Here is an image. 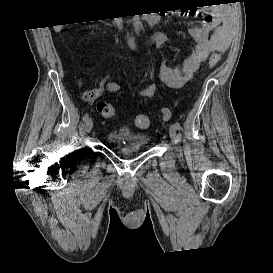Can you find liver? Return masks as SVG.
<instances>
[{
    "label": "liver",
    "instance_id": "liver-1",
    "mask_svg": "<svg viewBox=\"0 0 273 273\" xmlns=\"http://www.w3.org/2000/svg\"><path fill=\"white\" fill-rule=\"evenodd\" d=\"M61 27H62L61 25H58V26H55L54 29L55 31L59 32L61 30Z\"/></svg>",
    "mask_w": 273,
    "mask_h": 273
}]
</instances>
